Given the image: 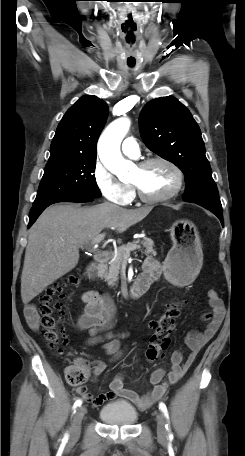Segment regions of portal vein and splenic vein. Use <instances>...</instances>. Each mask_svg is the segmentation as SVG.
<instances>
[{
	"mask_svg": "<svg viewBox=\"0 0 245 456\" xmlns=\"http://www.w3.org/2000/svg\"><path fill=\"white\" fill-rule=\"evenodd\" d=\"M104 237H105V234H104V233L97 235V236L92 240V244H93V245L99 244V243L104 239ZM138 248H140V246L136 244V245H133L132 247H130L129 249H126V252H127V254H128L127 256L130 255V251H131V250H136V249H138Z\"/></svg>",
	"mask_w": 245,
	"mask_h": 456,
	"instance_id": "portal-vein-and-splenic-vein-1",
	"label": "portal vein and splenic vein"
}]
</instances>
